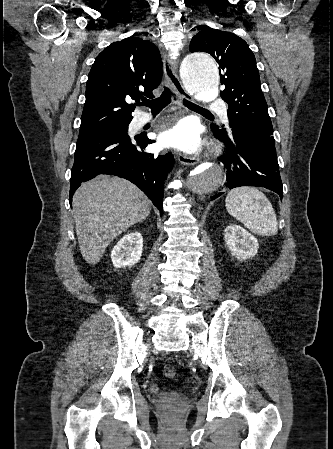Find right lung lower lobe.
Listing matches in <instances>:
<instances>
[{
    "instance_id": "right-lung-lower-lobe-1",
    "label": "right lung lower lobe",
    "mask_w": 333,
    "mask_h": 449,
    "mask_svg": "<svg viewBox=\"0 0 333 449\" xmlns=\"http://www.w3.org/2000/svg\"><path fill=\"white\" fill-rule=\"evenodd\" d=\"M146 134L131 139L128 134L108 133L78 137L70 179V206L75 190L99 174L116 175L137 185L162 215L164 181L172 169V154H150L153 143Z\"/></svg>"
}]
</instances>
